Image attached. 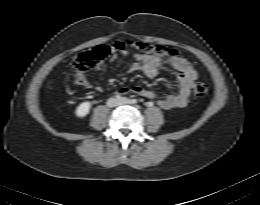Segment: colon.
Instances as JSON below:
<instances>
[{"label": "colon", "mask_w": 260, "mask_h": 205, "mask_svg": "<svg viewBox=\"0 0 260 205\" xmlns=\"http://www.w3.org/2000/svg\"><path fill=\"white\" fill-rule=\"evenodd\" d=\"M133 48L144 54L154 55L156 57L165 58H176L178 53L175 50L168 49L165 46L153 45L145 42H133V43H122L118 42L114 44L111 49L123 50L126 47ZM109 52V48L104 45H99L91 50L78 54L73 65L78 72L84 73L95 68L101 61H103ZM208 93V86L203 82H198L193 86V94L196 97H204Z\"/></svg>", "instance_id": "5ec220e1"}]
</instances>
